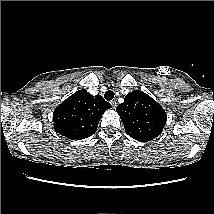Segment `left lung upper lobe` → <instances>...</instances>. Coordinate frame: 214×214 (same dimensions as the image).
Returning a JSON list of instances; mask_svg holds the SVG:
<instances>
[{
    "mask_svg": "<svg viewBox=\"0 0 214 214\" xmlns=\"http://www.w3.org/2000/svg\"><path fill=\"white\" fill-rule=\"evenodd\" d=\"M126 133L141 142L159 136L167 121L164 109L149 95L140 90L128 93L116 108Z\"/></svg>",
    "mask_w": 214,
    "mask_h": 214,
    "instance_id": "obj_1",
    "label": "left lung upper lobe"
}]
</instances>
